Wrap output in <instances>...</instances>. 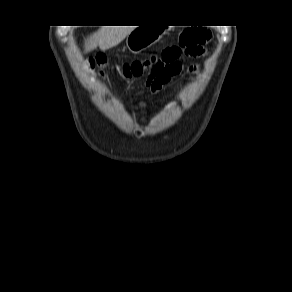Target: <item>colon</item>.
<instances>
[{"mask_svg":"<svg viewBox=\"0 0 292 292\" xmlns=\"http://www.w3.org/2000/svg\"><path fill=\"white\" fill-rule=\"evenodd\" d=\"M210 36L207 29L192 27L181 33L177 46L164 50L161 55L113 67L126 78H137L148 73V85L155 89L181 71L180 59L183 55H199L202 52V45L210 39ZM108 66V60L103 55L91 59L88 65L90 70L100 74H103Z\"/></svg>","mask_w":292,"mask_h":292,"instance_id":"colon-1","label":"colon"}]
</instances>
